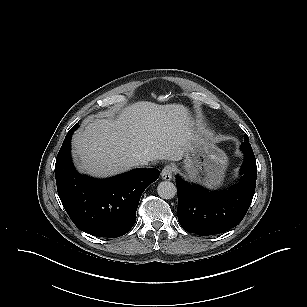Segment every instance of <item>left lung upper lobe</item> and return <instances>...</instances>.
Wrapping results in <instances>:
<instances>
[{"label":"left lung upper lobe","mask_w":307,"mask_h":307,"mask_svg":"<svg viewBox=\"0 0 307 307\" xmlns=\"http://www.w3.org/2000/svg\"><path fill=\"white\" fill-rule=\"evenodd\" d=\"M243 152H253L250 143L248 142V136H245V141L241 144Z\"/></svg>","instance_id":"obj_1"}]
</instances>
